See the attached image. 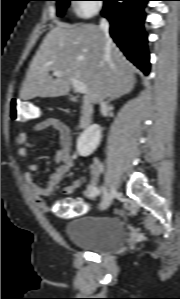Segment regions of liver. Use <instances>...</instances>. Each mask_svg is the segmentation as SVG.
<instances>
[{
    "label": "liver",
    "mask_w": 180,
    "mask_h": 299,
    "mask_svg": "<svg viewBox=\"0 0 180 299\" xmlns=\"http://www.w3.org/2000/svg\"><path fill=\"white\" fill-rule=\"evenodd\" d=\"M56 70L63 75L53 78L49 72ZM70 77L86 85L83 100L93 104L128 94L136 81L133 65L100 27L57 23L29 66L20 98L67 95Z\"/></svg>",
    "instance_id": "1"
}]
</instances>
